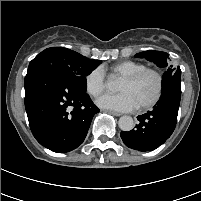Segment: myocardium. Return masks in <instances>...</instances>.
Instances as JSON below:
<instances>
[{
  "mask_svg": "<svg viewBox=\"0 0 201 201\" xmlns=\"http://www.w3.org/2000/svg\"><path fill=\"white\" fill-rule=\"evenodd\" d=\"M147 74H152L155 77L157 86H156V91L153 97L148 102L137 106V108L140 110H146V109L152 108L160 100L163 93V88H164V78L162 73L155 68L146 67L140 71H137L133 74L123 77V80L133 83L138 81L140 78H142L144 75H147Z\"/></svg>",
  "mask_w": 201,
  "mask_h": 201,
  "instance_id": "1",
  "label": "myocardium"
}]
</instances>
